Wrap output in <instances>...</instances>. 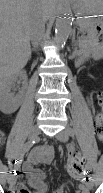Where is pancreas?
Returning <instances> with one entry per match:
<instances>
[{"instance_id": "cf45deb5", "label": "pancreas", "mask_w": 103, "mask_h": 193, "mask_svg": "<svg viewBox=\"0 0 103 193\" xmlns=\"http://www.w3.org/2000/svg\"><path fill=\"white\" fill-rule=\"evenodd\" d=\"M90 24L88 21H83L82 26L88 27ZM88 40L85 38V36H82L79 38L78 45L80 48V51L82 54L87 55L89 53V46H88Z\"/></svg>"}]
</instances>
